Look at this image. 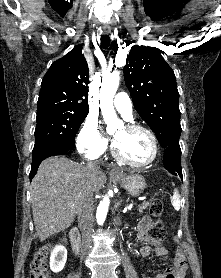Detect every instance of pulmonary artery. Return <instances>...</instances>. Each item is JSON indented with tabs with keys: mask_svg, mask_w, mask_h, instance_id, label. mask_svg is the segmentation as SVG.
Returning <instances> with one entry per match:
<instances>
[{
	"mask_svg": "<svg viewBox=\"0 0 221 278\" xmlns=\"http://www.w3.org/2000/svg\"><path fill=\"white\" fill-rule=\"evenodd\" d=\"M113 103L117 111L121 113L125 119L130 120L132 118V102L127 94L118 93Z\"/></svg>",
	"mask_w": 221,
	"mask_h": 278,
	"instance_id": "1",
	"label": "pulmonary artery"
}]
</instances>
